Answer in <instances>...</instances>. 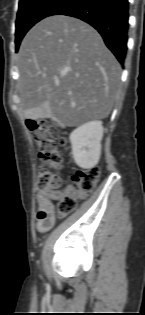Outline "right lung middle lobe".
<instances>
[{
  "label": "right lung middle lobe",
  "instance_id": "right-lung-middle-lobe-1",
  "mask_svg": "<svg viewBox=\"0 0 145 315\" xmlns=\"http://www.w3.org/2000/svg\"><path fill=\"white\" fill-rule=\"evenodd\" d=\"M66 0H20L16 19V51L27 31L61 6Z\"/></svg>",
  "mask_w": 145,
  "mask_h": 315
}]
</instances>
